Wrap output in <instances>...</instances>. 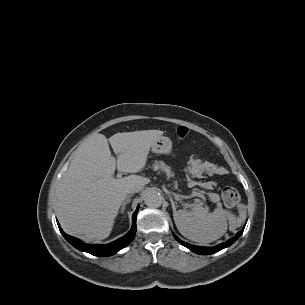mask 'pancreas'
<instances>
[{
  "label": "pancreas",
  "mask_w": 305,
  "mask_h": 305,
  "mask_svg": "<svg viewBox=\"0 0 305 305\" xmlns=\"http://www.w3.org/2000/svg\"><path fill=\"white\" fill-rule=\"evenodd\" d=\"M153 170H161L166 173L167 178L173 177L174 174L171 171V167L165 164L163 161H155L152 165Z\"/></svg>",
  "instance_id": "pancreas-1"
}]
</instances>
